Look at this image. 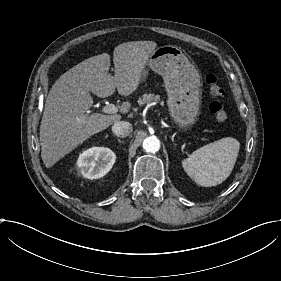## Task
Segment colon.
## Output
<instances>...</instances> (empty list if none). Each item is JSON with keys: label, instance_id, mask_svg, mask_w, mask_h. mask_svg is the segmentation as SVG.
<instances>
[{"label": "colon", "instance_id": "obj_1", "mask_svg": "<svg viewBox=\"0 0 281 281\" xmlns=\"http://www.w3.org/2000/svg\"><path fill=\"white\" fill-rule=\"evenodd\" d=\"M204 83L211 98L210 111L213 120L218 125H224L229 120L228 111L224 102V87L217 77L211 71H208L204 77Z\"/></svg>", "mask_w": 281, "mask_h": 281}]
</instances>
